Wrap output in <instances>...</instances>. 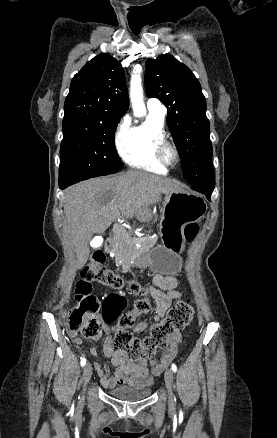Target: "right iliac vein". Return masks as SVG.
<instances>
[{
	"instance_id": "1",
	"label": "right iliac vein",
	"mask_w": 277,
	"mask_h": 438,
	"mask_svg": "<svg viewBox=\"0 0 277 438\" xmlns=\"http://www.w3.org/2000/svg\"><path fill=\"white\" fill-rule=\"evenodd\" d=\"M92 376V366L87 363L83 369L84 386L86 387Z\"/></svg>"
}]
</instances>
